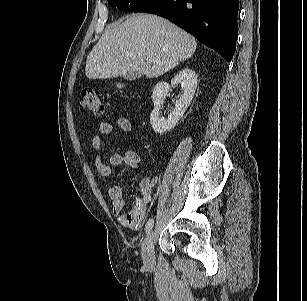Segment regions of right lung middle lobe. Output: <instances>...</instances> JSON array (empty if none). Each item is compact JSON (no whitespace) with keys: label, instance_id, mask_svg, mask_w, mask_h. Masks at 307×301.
<instances>
[{"label":"right lung middle lobe","instance_id":"dd1d6c3e","mask_svg":"<svg viewBox=\"0 0 307 301\" xmlns=\"http://www.w3.org/2000/svg\"><path fill=\"white\" fill-rule=\"evenodd\" d=\"M154 1L156 0H108V3L124 11L139 12Z\"/></svg>","mask_w":307,"mask_h":301}]
</instances>
